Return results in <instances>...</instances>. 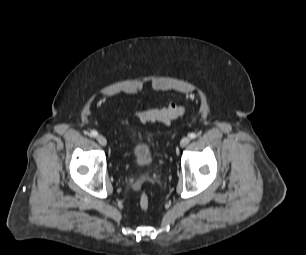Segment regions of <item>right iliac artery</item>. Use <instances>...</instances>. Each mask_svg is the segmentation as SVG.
<instances>
[{"instance_id": "1", "label": "right iliac artery", "mask_w": 306, "mask_h": 255, "mask_svg": "<svg viewBox=\"0 0 306 255\" xmlns=\"http://www.w3.org/2000/svg\"><path fill=\"white\" fill-rule=\"evenodd\" d=\"M97 135H98V133H97V131H91L90 132V136H92V137H97Z\"/></svg>"}]
</instances>
